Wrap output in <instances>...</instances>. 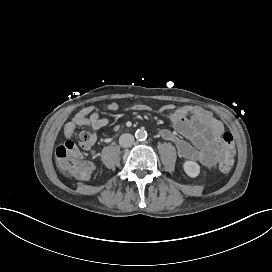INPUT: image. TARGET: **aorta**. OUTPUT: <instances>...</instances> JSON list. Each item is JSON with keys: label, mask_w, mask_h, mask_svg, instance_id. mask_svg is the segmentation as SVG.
Masks as SVG:
<instances>
[{"label": "aorta", "mask_w": 272, "mask_h": 272, "mask_svg": "<svg viewBox=\"0 0 272 272\" xmlns=\"http://www.w3.org/2000/svg\"><path fill=\"white\" fill-rule=\"evenodd\" d=\"M135 137L139 141H144L147 138V132L144 129H138L135 132Z\"/></svg>", "instance_id": "1"}]
</instances>
